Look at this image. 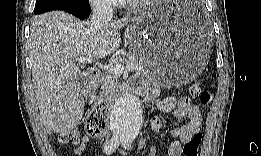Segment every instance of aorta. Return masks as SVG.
Segmentation results:
<instances>
[{"label": "aorta", "mask_w": 261, "mask_h": 156, "mask_svg": "<svg viewBox=\"0 0 261 156\" xmlns=\"http://www.w3.org/2000/svg\"><path fill=\"white\" fill-rule=\"evenodd\" d=\"M143 107L140 99L132 94L121 96L110 113V127L121 141L131 142L140 133L143 125Z\"/></svg>", "instance_id": "aorta-1"}]
</instances>
